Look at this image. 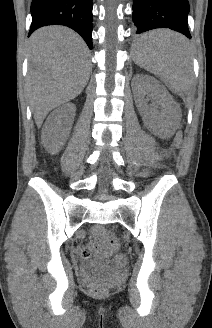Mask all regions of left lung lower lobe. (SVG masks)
I'll return each instance as SVG.
<instances>
[{
  "label": "left lung lower lobe",
  "mask_w": 212,
  "mask_h": 328,
  "mask_svg": "<svg viewBox=\"0 0 212 328\" xmlns=\"http://www.w3.org/2000/svg\"><path fill=\"white\" fill-rule=\"evenodd\" d=\"M188 13V0H133V22L137 34L156 28H169L191 38ZM137 46H152V43L139 37Z\"/></svg>",
  "instance_id": "left-lung-lower-lobe-1"
}]
</instances>
